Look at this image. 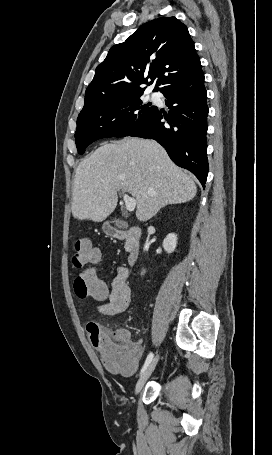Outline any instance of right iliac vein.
<instances>
[{
	"instance_id": "right-iliac-vein-1",
	"label": "right iliac vein",
	"mask_w": 272,
	"mask_h": 455,
	"mask_svg": "<svg viewBox=\"0 0 272 455\" xmlns=\"http://www.w3.org/2000/svg\"><path fill=\"white\" fill-rule=\"evenodd\" d=\"M158 360H159V354L156 355V357L149 364L147 369L140 376L139 380L137 381L136 387H135V394H138L141 391L144 384L146 383V381L148 380V378L151 376L152 372L154 371V369L158 363Z\"/></svg>"
}]
</instances>
